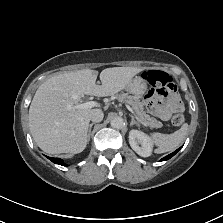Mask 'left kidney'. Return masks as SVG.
<instances>
[{"label": "left kidney", "instance_id": "obj_1", "mask_svg": "<svg viewBox=\"0 0 223 223\" xmlns=\"http://www.w3.org/2000/svg\"><path fill=\"white\" fill-rule=\"evenodd\" d=\"M129 143L138 155L142 157L152 156L155 143L149 134L138 129H131L129 131Z\"/></svg>", "mask_w": 223, "mask_h": 223}]
</instances>
